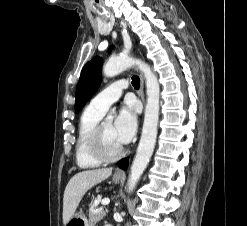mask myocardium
<instances>
[{"label": "myocardium", "instance_id": "f54148a6", "mask_svg": "<svg viewBox=\"0 0 247 226\" xmlns=\"http://www.w3.org/2000/svg\"><path fill=\"white\" fill-rule=\"evenodd\" d=\"M104 121L99 122L92 130L88 139V148L90 154L100 163H111L120 159L124 154V148L121 147L116 153L108 155L102 146V130Z\"/></svg>", "mask_w": 247, "mask_h": 226}]
</instances>
